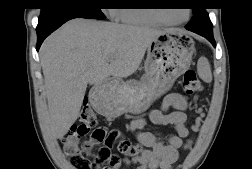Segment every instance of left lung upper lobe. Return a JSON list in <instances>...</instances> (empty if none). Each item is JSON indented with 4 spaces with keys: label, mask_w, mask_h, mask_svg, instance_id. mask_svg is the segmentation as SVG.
Returning a JSON list of instances; mask_svg holds the SVG:
<instances>
[{
    "label": "left lung upper lobe",
    "mask_w": 252,
    "mask_h": 169,
    "mask_svg": "<svg viewBox=\"0 0 252 169\" xmlns=\"http://www.w3.org/2000/svg\"><path fill=\"white\" fill-rule=\"evenodd\" d=\"M205 0H195L196 3H202ZM193 17L186 25V28L191 31H202L207 34H213V25L210 21L208 13L202 6L192 8Z\"/></svg>",
    "instance_id": "left-lung-upper-lobe-1"
}]
</instances>
